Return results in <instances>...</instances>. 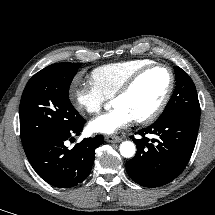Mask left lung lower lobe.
Returning <instances> with one entry per match:
<instances>
[{
    "label": "left lung lower lobe",
    "instance_id": "1",
    "mask_svg": "<svg viewBox=\"0 0 215 215\" xmlns=\"http://www.w3.org/2000/svg\"><path fill=\"white\" fill-rule=\"evenodd\" d=\"M200 120L172 116L156 120L131 138L137 145L135 157L126 163L130 178L144 187H159L174 180L186 167L194 150ZM146 134H153L149 140Z\"/></svg>",
    "mask_w": 215,
    "mask_h": 215
}]
</instances>
